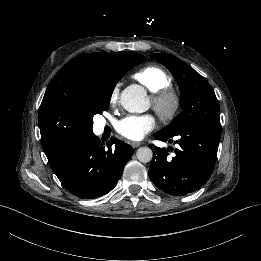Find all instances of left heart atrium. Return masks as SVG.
Listing matches in <instances>:
<instances>
[{
  "instance_id": "1",
  "label": "left heart atrium",
  "mask_w": 261,
  "mask_h": 261,
  "mask_svg": "<svg viewBox=\"0 0 261 261\" xmlns=\"http://www.w3.org/2000/svg\"><path fill=\"white\" fill-rule=\"evenodd\" d=\"M155 124L152 115H129L116 123L115 130L128 140L139 141L155 128Z\"/></svg>"
}]
</instances>
